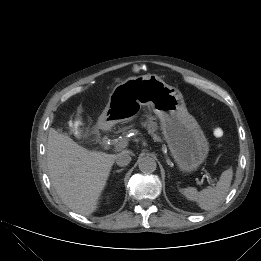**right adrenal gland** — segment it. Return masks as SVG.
<instances>
[{"mask_svg": "<svg viewBox=\"0 0 261 261\" xmlns=\"http://www.w3.org/2000/svg\"><path fill=\"white\" fill-rule=\"evenodd\" d=\"M121 171H123V169L116 170L117 173H120Z\"/></svg>", "mask_w": 261, "mask_h": 261, "instance_id": "obj_1", "label": "right adrenal gland"}]
</instances>
